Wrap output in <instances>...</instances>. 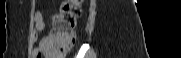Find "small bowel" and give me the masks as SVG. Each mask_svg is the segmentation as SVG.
<instances>
[{
  "mask_svg": "<svg viewBox=\"0 0 181 58\" xmlns=\"http://www.w3.org/2000/svg\"><path fill=\"white\" fill-rule=\"evenodd\" d=\"M34 24H35V37L37 40H39V46L34 50L35 55L43 54L47 52L48 47H47V38H40V34L44 31L45 29V22H44V17L43 14L40 10H36L35 15H34Z\"/></svg>",
  "mask_w": 181,
  "mask_h": 58,
  "instance_id": "c3829d8e",
  "label": "small bowel"
}]
</instances>
